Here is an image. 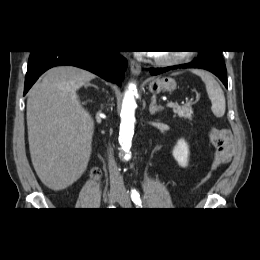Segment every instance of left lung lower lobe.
Here are the masks:
<instances>
[{
    "mask_svg": "<svg viewBox=\"0 0 260 260\" xmlns=\"http://www.w3.org/2000/svg\"><path fill=\"white\" fill-rule=\"evenodd\" d=\"M177 68H199L215 74L227 87L226 67L220 51H201L199 56L190 63L163 68H151V75H158Z\"/></svg>",
    "mask_w": 260,
    "mask_h": 260,
    "instance_id": "0a47b994",
    "label": "left lung lower lobe"
}]
</instances>
